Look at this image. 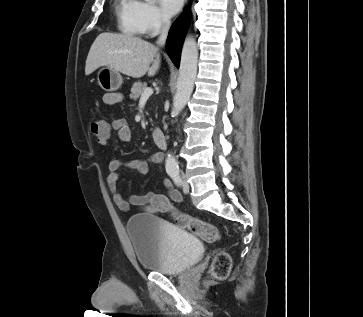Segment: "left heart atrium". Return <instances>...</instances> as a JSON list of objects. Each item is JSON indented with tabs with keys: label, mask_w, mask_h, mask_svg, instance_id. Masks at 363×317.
<instances>
[{
	"label": "left heart atrium",
	"mask_w": 363,
	"mask_h": 317,
	"mask_svg": "<svg viewBox=\"0 0 363 317\" xmlns=\"http://www.w3.org/2000/svg\"><path fill=\"white\" fill-rule=\"evenodd\" d=\"M160 3L165 14L171 16L181 9L183 0H160Z\"/></svg>",
	"instance_id": "obj_1"
}]
</instances>
